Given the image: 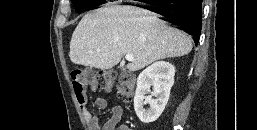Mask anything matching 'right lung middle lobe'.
I'll return each instance as SVG.
<instances>
[{
  "label": "right lung middle lobe",
  "mask_w": 257,
  "mask_h": 130,
  "mask_svg": "<svg viewBox=\"0 0 257 130\" xmlns=\"http://www.w3.org/2000/svg\"><path fill=\"white\" fill-rule=\"evenodd\" d=\"M72 3L78 13L90 10L104 3V0H72Z\"/></svg>",
  "instance_id": "right-lung-middle-lobe-1"
}]
</instances>
